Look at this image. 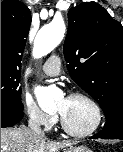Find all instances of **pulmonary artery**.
I'll list each match as a JSON object with an SVG mask.
<instances>
[{
  "instance_id": "e3ab8cb5",
  "label": "pulmonary artery",
  "mask_w": 123,
  "mask_h": 152,
  "mask_svg": "<svg viewBox=\"0 0 123 152\" xmlns=\"http://www.w3.org/2000/svg\"><path fill=\"white\" fill-rule=\"evenodd\" d=\"M61 60L58 55L50 56L42 66V71L48 76H56L60 73Z\"/></svg>"
}]
</instances>
